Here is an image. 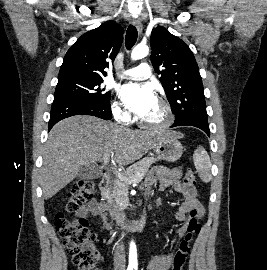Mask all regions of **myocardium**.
<instances>
[{
	"instance_id": "1",
	"label": "myocardium",
	"mask_w": 267,
	"mask_h": 270,
	"mask_svg": "<svg viewBox=\"0 0 267 270\" xmlns=\"http://www.w3.org/2000/svg\"><path fill=\"white\" fill-rule=\"evenodd\" d=\"M158 103L162 106L164 111V120L160 123H149L144 121L142 118L139 119V124L141 127L153 131H162L168 129L174 122V113L169 102L163 98H159Z\"/></svg>"
}]
</instances>
